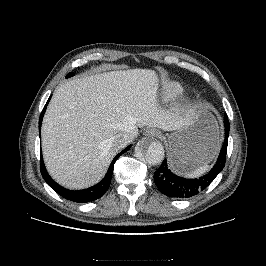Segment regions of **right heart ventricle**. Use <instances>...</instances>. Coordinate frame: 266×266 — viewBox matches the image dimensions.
I'll return each instance as SVG.
<instances>
[{"label": "right heart ventricle", "instance_id": "1", "mask_svg": "<svg viewBox=\"0 0 266 266\" xmlns=\"http://www.w3.org/2000/svg\"><path fill=\"white\" fill-rule=\"evenodd\" d=\"M184 91V87L181 83L173 80H166L161 86V98L164 100L175 99L180 96Z\"/></svg>", "mask_w": 266, "mask_h": 266}]
</instances>
